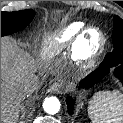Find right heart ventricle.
<instances>
[{"mask_svg": "<svg viewBox=\"0 0 123 123\" xmlns=\"http://www.w3.org/2000/svg\"><path fill=\"white\" fill-rule=\"evenodd\" d=\"M79 34H76L75 27H67L60 33L49 38L42 47V54L45 57H51L57 52H59L65 45L69 46L71 56L74 59L78 57V44L77 40Z\"/></svg>", "mask_w": 123, "mask_h": 123, "instance_id": "1", "label": "right heart ventricle"}]
</instances>
